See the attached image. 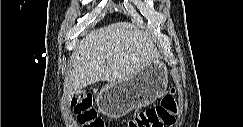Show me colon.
<instances>
[{
  "label": "colon",
  "instance_id": "1",
  "mask_svg": "<svg viewBox=\"0 0 243 127\" xmlns=\"http://www.w3.org/2000/svg\"><path fill=\"white\" fill-rule=\"evenodd\" d=\"M73 111L83 127H104V121L93 108L91 93H82L72 100ZM178 105L174 94L165 96L161 103L136 114L127 122L128 127H169L175 123Z\"/></svg>",
  "mask_w": 243,
  "mask_h": 127
}]
</instances>
